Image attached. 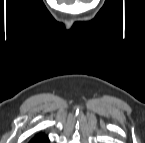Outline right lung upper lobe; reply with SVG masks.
Listing matches in <instances>:
<instances>
[{
    "instance_id": "cb5924a9",
    "label": "right lung upper lobe",
    "mask_w": 145,
    "mask_h": 143,
    "mask_svg": "<svg viewBox=\"0 0 145 143\" xmlns=\"http://www.w3.org/2000/svg\"><path fill=\"white\" fill-rule=\"evenodd\" d=\"M48 138L40 133V134H37L31 141L30 143H48Z\"/></svg>"
}]
</instances>
